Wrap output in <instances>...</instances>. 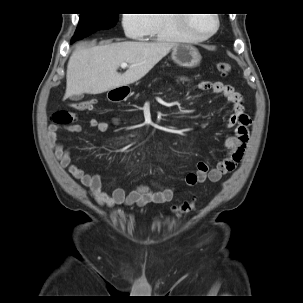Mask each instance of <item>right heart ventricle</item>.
Masks as SVG:
<instances>
[{
	"instance_id": "e07e8e85",
	"label": "right heart ventricle",
	"mask_w": 303,
	"mask_h": 303,
	"mask_svg": "<svg viewBox=\"0 0 303 303\" xmlns=\"http://www.w3.org/2000/svg\"><path fill=\"white\" fill-rule=\"evenodd\" d=\"M149 28L145 36L160 38L168 42H181L189 39L180 14H151Z\"/></svg>"
}]
</instances>
